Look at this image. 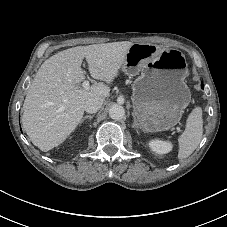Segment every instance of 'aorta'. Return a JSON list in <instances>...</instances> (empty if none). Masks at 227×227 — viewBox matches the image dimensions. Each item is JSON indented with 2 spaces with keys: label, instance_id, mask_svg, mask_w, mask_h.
Listing matches in <instances>:
<instances>
[{
  "label": "aorta",
  "instance_id": "762f6f07",
  "mask_svg": "<svg viewBox=\"0 0 227 227\" xmlns=\"http://www.w3.org/2000/svg\"><path fill=\"white\" fill-rule=\"evenodd\" d=\"M124 115H125V110H124L123 106H121L119 104H114L109 109V116L112 119L120 120L124 117Z\"/></svg>",
  "mask_w": 227,
  "mask_h": 227
}]
</instances>
